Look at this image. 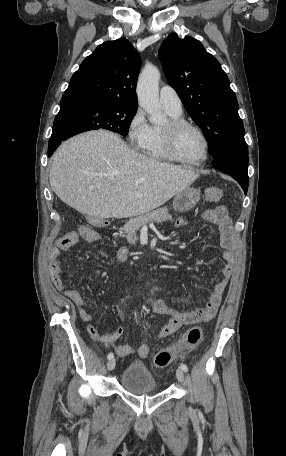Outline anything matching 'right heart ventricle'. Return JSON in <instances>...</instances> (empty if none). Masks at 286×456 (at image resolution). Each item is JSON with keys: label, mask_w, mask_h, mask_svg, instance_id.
<instances>
[{"label": "right heart ventricle", "mask_w": 286, "mask_h": 456, "mask_svg": "<svg viewBox=\"0 0 286 456\" xmlns=\"http://www.w3.org/2000/svg\"><path fill=\"white\" fill-rule=\"evenodd\" d=\"M168 112V111H167ZM172 118H180L181 115H175L168 112ZM143 153L153 160L166 161L169 160L163 152L161 142V128L151 127L150 135L147 142L141 148Z\"/></svg>", "instance_id": "e07e8e85"}]
</instances>
